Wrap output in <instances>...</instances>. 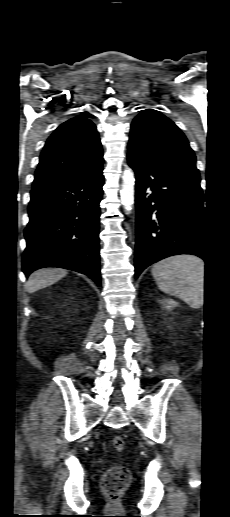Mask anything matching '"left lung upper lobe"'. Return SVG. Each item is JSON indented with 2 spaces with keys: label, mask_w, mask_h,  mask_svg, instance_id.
Here are the masks:
<instances>
[{
  "label": "left lung upper lobe",
  "mask_w": 230,
  "mask_h": 517,
  "mask_svg": "<svg viewBox=\"0 0 230 517\" xmlns=\"http://www.w3.org/2000/svg\"><path fill=\"white\" fill-rule=\"evenodd\" d=\"M128 151L157 166L199 175L196 157L187 138L170 119L156 110H143L134 118Z\"/></svg>",
  "instance_id": "left-lung-upper-lobe-1"
}]
</instances>
